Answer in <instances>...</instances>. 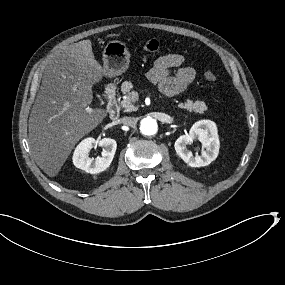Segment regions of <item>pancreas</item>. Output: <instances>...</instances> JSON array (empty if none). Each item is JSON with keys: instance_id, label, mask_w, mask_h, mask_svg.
Returning a JSON list of instances; mask_svg holds the SVG:
<instances>
[{"instance_id": "obj_1", "label": "pancreas", "mask_w": 285, "mask_h": 285, "mask_svg": "<svg viewBox=\"0 0 285 285\" xmlns=\"http://www.w3.org/2000/svg\"><path fill=\"white\" fill-rule=\"evenodd\" d=\"M136 88L135 82H129L124 81L120 87V92L126 94V98L121 102V106L125 108L127 111L131 112L135 110V106L132 104L131 97L133 95V89ZM179 108L186 109L190 112L194 111L196 113H203L205 110H207V106L203 101H192V100H186L185 103H179Z\"/></svg>"}]
</instances>
